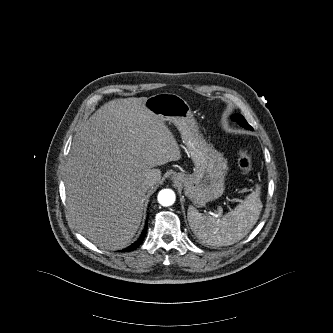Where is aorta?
Returning <instances> with one entry per match:
<instances>
[{"label":"aorta","instance_id":"1","mask_svg":"<svg viewBox=\"0 0 333 333\" xmlns=\"http://www.w3.org/2000/svg\"><path fill=\"white\" fill-rule=\"evenodd\" d=\"M176 196L173 190L163 189L158 194V202L162 206H171L175 202Z\"/></svg>","mask_w":333,"mask_h":333}]
</instances>
